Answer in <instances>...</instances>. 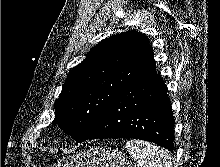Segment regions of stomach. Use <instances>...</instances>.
I'll use <instances>...</instances> for the list:
<instances>
[{"label": "stomach", "mask_w": 220, "mask_h": 167, "mask_svg": "<svg viewBox=\"0 0 220 167\" xmlns=\"http://www.w3.org/2000/svg\"><path fill=\"white\" fill-rule=\"evenodd\" d=\"M122 152L117 149L96 147L83 153L64 157L55 167H125Z\"/></svg>", "instance_id": "stomach-1"}]
</instances>
